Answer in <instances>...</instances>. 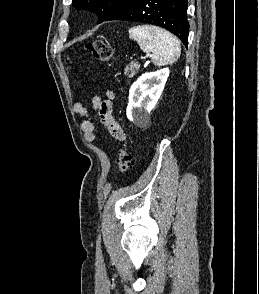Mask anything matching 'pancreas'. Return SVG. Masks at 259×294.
I'll return each mask as SVG.
<instances>
[{
    "label": "pancreas",
    "mask_w": 259,
    "mask_h": 294,
    "mask_svg": "<svg viewBox=\"0 0 259 294\" xmlns=\"http://www.w3.org/2000/svg\"><path fill=\"white\" fill-rule=\"evenodd\" d=\"M140 69V64L138 62H130L125 68V75L132 78L136 72Z\"/></svg>",
    "instance_id": "cf45deb5"
}]
</instances>
